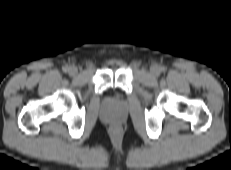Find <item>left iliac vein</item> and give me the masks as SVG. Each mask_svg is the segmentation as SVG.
<instances>
[{
  "instance_id": "1",
  "label": "left iliac vein",
  "mask_w": 231,
  "mask_h": 170,
  "mask_svg": "<svg viewBox=\"0 0 231 170\" xmlns=\"http://www.w3.org/2000/svg\"><path fill=\"white\" fill-rule=\"evenodd\" d=\"M150 74L152 75V76H154V77H157V76H159V74H160V69H159V67L158 66H152L151 68H150Z\"/></svg>"
}]
</instances>
